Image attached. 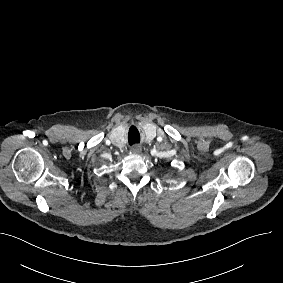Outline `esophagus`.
Masks as SVG:
<instances>
[{"label": "esophagus", "instance_id": "esophagus-1", "mask_svg": "<svg viewBox=\"0 0 283 283\" xmlns=\"http://www.w3.org/2000/svg\"><path fill=\"white\" fill-rule=\"evenodd\" d=\"M131 151H132L134 154H139V153H141L142 148H141L140 146H138V145H135V146H133V147L131 148Z\"/></svg>", "mask_w": 283, "mask_h": 283}]
</instances>
